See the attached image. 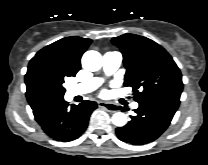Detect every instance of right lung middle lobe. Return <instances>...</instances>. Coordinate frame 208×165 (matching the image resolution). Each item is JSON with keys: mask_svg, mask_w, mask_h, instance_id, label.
I'll use <instances>...</instances> for the list:
<instances>
[{"mask_svg": "<svg viewBox=\"0 0 208 165\" xmlns=\"http://www.w3.org/2000/svg\"><path fill=\"white\" fill-rule=\"evenodd\" d=\"M74 76L58 66L53 58L33 57L25 75L26 97L29 104L55 102L63 99L66 77Z\"/></svg>", "mask_w": 208, "mask_h": 165, "instance_id": "obj_1", "label": "right lung middle lobe"}]
</instances>
